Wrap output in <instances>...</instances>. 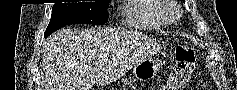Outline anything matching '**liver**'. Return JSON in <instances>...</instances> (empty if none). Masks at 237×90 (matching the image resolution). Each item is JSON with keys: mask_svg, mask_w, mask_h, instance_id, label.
Here are the masks:
<instances>
[{"mask_svg": "<svg viewBox=\"0 0 237 90\" xmlns=\"http://www.w3.org/2000/svg\"><path fill=\"white\" fill-rule=\"evenodd\" d=\"M116 36L108 28L59 30L49 36L42 52L45 90H89L104 72L113 74L118 62Z\"/></svg>", "mask_w": 237, "mask_h": 90, "instance_id": "obj_1", "label": "liver"}]
</instances>
